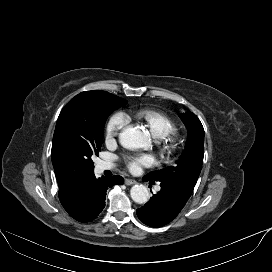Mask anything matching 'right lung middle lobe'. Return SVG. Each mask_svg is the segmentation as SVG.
<instances>
[{
    "label": "right lung middle lobe",
    "mask_w": 272,
    "mask_h": 272,
    "mask_svg": "<svg viewBox=\"0 0 272 272\" xmlns=\"http://www.w3.org/2000/svg\"><path fill=\"white\" fill-rule=\"evenodd\" d=\"M127 103L111 93L94 90L76 95L62 109L53 136V145L78 174L94 171L92 157L103 143L106 119Z\"/></svg>",
    "instance_id": "1"
}]
</instances>
